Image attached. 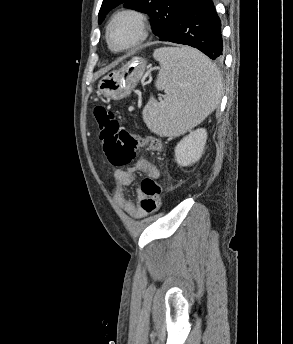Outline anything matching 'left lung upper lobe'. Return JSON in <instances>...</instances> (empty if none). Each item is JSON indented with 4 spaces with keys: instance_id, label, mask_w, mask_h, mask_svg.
Returning <instances> with one entry per match:
<instances>
[{
    "instance_id": "obj_1",
    "label": "left lung upper lobe",
    "mask_w": 293,
    "mask_h": 344,
    "mask_svg": "<svg viewBox=\"0 0 293 344\" xmlns=\"http://www.w3.org/2000/svg\"><path fill=\"white\" fill-rule=\"evenodd\" d=\"M189 0H103L98 23L115 7L124 4L151 17L153 32L160 39L171 30Z\"/></svg>"
}]
</instances>
